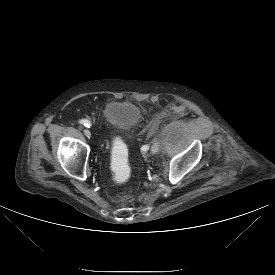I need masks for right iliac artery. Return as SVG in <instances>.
I'll use <instances>...</instances> for the list:
<instances>
[{
    "label": "right iliac artery",
    "instance_id": "1",
    "mask_svg": "<svg viewBox=\"0 0 275 275\" xmlns=\"http://www.w3.org/2000/svg\"><path fill=\"white\" fill-rule=\"evenodd\" d=\"M79 123H80V124H83L84 126H86V127H88V128H90V126H91L90 121H88V120H86V119L80 120Z\"/></svg>",
    "mask_w": 275,
    "mask_h": 275
}]
</instances>
